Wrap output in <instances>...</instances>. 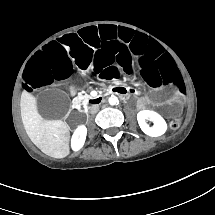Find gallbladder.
Instances as JSON below:
<instances>
[{
	"instance_id": "bac80fb5",
	"label": "gallbladder",
	"mask_w": 215,
	"mask_h": 215,
	"mask_svg": "<svg viewBox=\"0 0 215 215\" xmlns=\"http://www.w3.org/2000/svg\"><path fill=\"white\" fill-rule=\"evenodd\" d=\"M69 106L68 98L59 90L43 92L37 99V108L47 119H61Z\"/></svg>"
}]
</instances>
